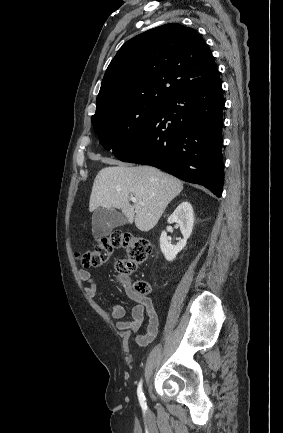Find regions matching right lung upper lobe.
Returning <instances> with one entry per match:
<instances>
[{"instance_id": "right-lung-upper-lobe-1", "label": "right lung upper lobe", "mask_w": 283, "mask_h": 433, "mask_svg": "<svg viewBox=\"0 0 283 433\" xmlns=\"http://www.w3.org/2000/svg\"><path fill=\"white\" fill-rule=\"evenodd\" d=\"M218 77L202 37L181 24H165L120 48L104 75L95 114L129 103L164 104Z\"/></svg>"}]
</instances>
